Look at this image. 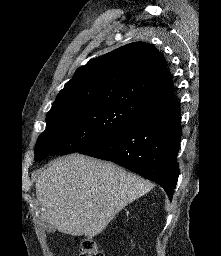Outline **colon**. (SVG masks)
Returning <instances> with one entry per match:
<instances>
[{
	"label": "colon",
	"instance_id": "obj_1",
	"mask_svg": "<svg viewBox=\"0 0 221 256\" xmlns=\"http://www.w3.org/2000/svg\"><path fill=\"white\" fill-rule=\"evenodd\" d=\"M79 256H105V254L94 239L85 238L81 242Z\"/></svg>",
	"mask_w": 221,
	"mask_h": 256
}]
</instances>
